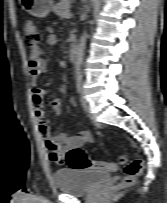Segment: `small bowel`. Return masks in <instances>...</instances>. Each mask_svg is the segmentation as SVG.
<instances>
[{
	"label": "small bowel",
	"instance_id": "obj_1",
	"mask_svg": "<svg viewBox=\"0 0 167 203\" xmlns=\"http://www.w3.org/2000/svg\"><path fill=\"white\" fill-rule=\"evenodd\" d=\"M56 42V38L53 34H50L47 39V45H53ZM48 70V65L45 61L39 59L37 62H29V76L33 84H36L39 77L45 74ZM46 89L34 87L32 90V102L34 107V116L37 121L40 132L45 139L46 148L49 151V158L51 161L62 164L64 162V152L69 151L74 147L82 146L85 143H89L93 140L92 134L87 130L77 131L73 134L58 133L56 135L50 134V125L46 118L43 99L47 95ZM72 106L76 105V101L72 99L70 101ZM51 107L53 111L58 114L61 109V100L58 97H54L51 100ZM114 164L106 163L105 169H114Z\"/></svg>",
	"mask_w": 167,
	"mask_h": 203
}]
</instances>
